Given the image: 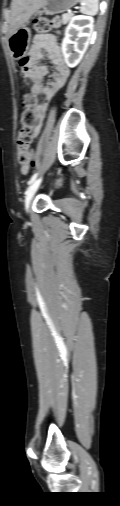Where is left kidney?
I'll return each instance as SVG.
<instances>
[{"label":"left kidney","mask_w":120,"mask_h":506,"mask_svg":"<svg viewBox=\"0 0 120 506\" xmlns=\"http://www.w3.org/2000/svg\"><path fill=\"white\" fill-rule=\"evenodd\" d=\"M93 18L74 16L67 28L61 49L68 67H75L83 58L93 34Z\"/></svg>","instance_id":"left-kidney-1"}]
</instances>
